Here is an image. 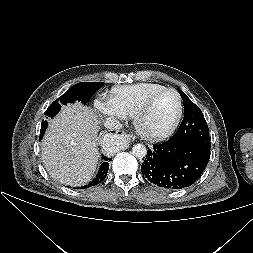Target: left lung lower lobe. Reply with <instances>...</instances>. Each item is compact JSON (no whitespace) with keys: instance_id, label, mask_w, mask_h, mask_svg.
<instances>
[{"instance_id":"0a47b994","label":"left lung lower lobe","mask_w":253,"mask_h":253,"mask_svg":"<svg viewBox=\"0 0 253 253\" xmlns=\"http://www.w3.org/2000/svg\"><path fill=\"white\" fill-rule=\"evenodd\" d=\"M210 158V148L192 141L171 140L148 149L141 171L151 183L166 189L192 185Z\"/></svg>"}]
</instances>
